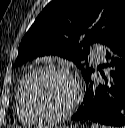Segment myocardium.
<instances>
[{
    "mask_svg": "<svg viewBox=\"0 0 125 128\" xmlns=\"http://www.w3.org/2000/svg\"><path fill=\"white\" fill-rule=\"evenodd\" d=\"M45 72H54L62 74L70 79L75 88V97L73 102L62 112L59 113H46L41 110H38L32 103L30 95H29V87L31 82L35 77H37L41 73ZM82 99V87L80 83L77 81L72 72L60 65L54 64H45L38 66L32 69L29 73H27L24 84H23V100L28 112L38 121L45 123H55L59 122L68 116H70L78 107Z\"/></svg>",
    "mask_w": 125,
    "mask_h": 128,
    "instance_id": "obj_1",
    "label": "myocardium"
}]
</instances>
